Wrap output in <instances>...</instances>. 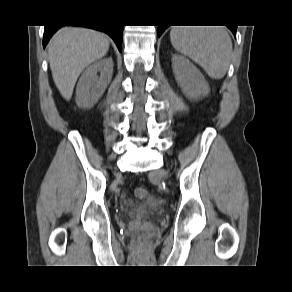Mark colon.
Segmentation results:
<instances>
[{"mask_svg": "<svg viewBox=\"0 0 292 292\" xmlns=\"http://www.w3.org/2000/svg\"><path fill=\"white\" fill-rule=\"evenodd\" d=\"M134 194L139 199H144L148 195V190L145 187H137L134 190Z\"/></svg>", "mask_w": 292, "mask_h": 292, "instance_id": "1", "label": "colon"}]
</instances>
